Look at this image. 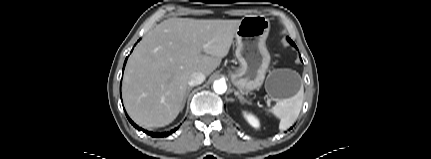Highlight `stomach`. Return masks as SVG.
Instances as JSON below:
<instances>
[{"label": "stomach", "mask_w": 431, "mask_h": 159, "mask_svg": "<svg viewBox=\"0 0 431 159\" xmlns=\"http://www.w3.org/2000/svg\"><path fill=\"white\" fill-rule=\"evenodd\" d=\"M270 22L264 15H247L235 32V55L239 67L230 73L233 85L242 93H249L262 86L270 63V54L266 48V39ZM302 83L298 73L288 69L269 73L265 81L268 95L275 100L295 96Z\"/></svg>", "instance_id": "1"}]
</instances>
